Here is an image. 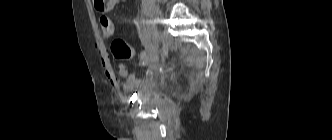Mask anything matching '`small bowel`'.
<instances>
[{
    "instance_id": "c3829d8e",
    "label": "small bowel",
    "mask_w": 332,
    "mask_h": 140,
    "mask_svg": "<svg viewBox=\"0 0 332 140\" xmlns=\"http://www.w3.org/2000/svg\"><path fill=\"white\" fill-rule=\"evenodd\" d=\"M112 6L108 7L105 11H110ZM144 45L146 46V51L142 52L140 55V64L142 66H152L158 51V47L155 43H151L150 40L144 38ZM105 74L108 81L114 86H121L124 92H130L141 88L147 80L151 79L152 73L148 72L146 78L137 77L134 73L129 71V68L124 63L118 65V75L122 78H125L124 83L120 84L119 80L115 76L114 71L112 70L110 64L104 62Z\"/></svg>"
}]
</instances>
